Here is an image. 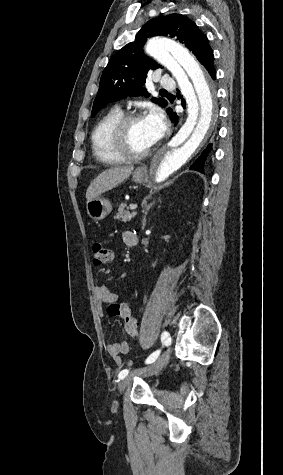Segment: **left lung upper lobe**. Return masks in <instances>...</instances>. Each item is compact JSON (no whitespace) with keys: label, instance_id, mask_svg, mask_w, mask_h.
<instances>
[{"label":"left lung upper lobe","instance_id":"obj_1","mask_svg":"<svg viewBox=\"0 0 283 475\" xmlns=\"http://www.w3.org/2000/svg\"><path fill=\"white\" fill-rule=\"evenodd\" d=\"M157 35L175 37L192 51L201 64L212 51L206 35L186 16L170 14L149 20L137 33L135 41L113 55L105 67L94 100L92 117L109 102L126 96H149L143 87L146 75L149 69L161 66L147 57L142 48L147 38ZM152 101L162 107L167 106L163 98H152Z\"/></svg>","mask_w":283,"mask_h":475}]
</instances>
